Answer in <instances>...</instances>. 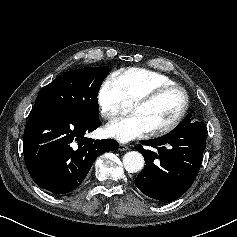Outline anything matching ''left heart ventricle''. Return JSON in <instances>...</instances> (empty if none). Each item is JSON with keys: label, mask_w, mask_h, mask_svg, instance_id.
Listing matches in <instances>:
<instances>
[{"label": "left heart ventricle", "mask_w": 237, "mask_h": 237, "mask_svg": "<svg viewBox=\"0 0 237 237\" xmlns=\"http://www.w3.org/2000/svg\"><path fill=\"white\" fill-rule=\"evenodd\" d=\"M183 104L179 91H169L149 104L132 105L130 112L140 116L149 130L169 124L178 114Z\"/></svg>", "instance_id": "left-heart-ventricle-1"}]
</instances>
